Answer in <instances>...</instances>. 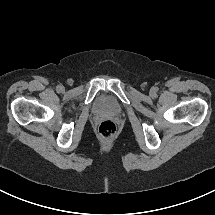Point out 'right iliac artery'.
<instances>
[{
	"label": "right iliac artery",
	"mask_w": 215,
	"mask_h": 215,
	"mask_svg": "<svg viewBox=\"0 0 215 215\" xmlns=\"http://www.w3.org/2000/svg\"><path fill=\"white\" fill-rule=\"evenodd\" d=\"M57 91H62V90H61V85H58V86H57Z\"/></svg>",
	"instance_id": "obj_1"
}]
</instances>
